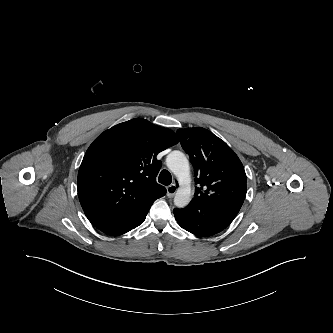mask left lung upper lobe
<instances>
[{
    "mask_svg": "<svg viewBox=\"0 0 333 333\" xmlns=\"http://www.w3.org/2000/svg\"><path fill=\"white\" fill-rule=\"evenodd\" d=\"M177 134L198 174L193 200L201 201L227 193H240L245 199L244 167L223 140L204 128L179 129Z\"/></svg>",
    "mask_w": 333,
    "mask_h": 333,
    "instance_id": "1",
    "label": "left lung upper lobe"
}]
</instances>
